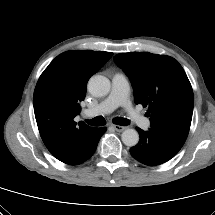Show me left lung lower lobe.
I'll use <instances>...</instances> for the list:
<instances>
[{
	"label": "left lung lower lobe",
	"mask_w": 215,
	"mask_h": 215,
	"mask_svg": "<svg viewBox=\"0 0 215 215\" xmlns=\"http://www.w3.org/2000/svg\"><path fill=\"white\" fill-rule=\"evenodd\" d=\"M140 140L131 147V155L139 162L148 166H157L173 158L181 149V146L173 143L153 129L143 131L136 127Z\"/></svg>",
	"instance_id": "1"
}]
</instances>
